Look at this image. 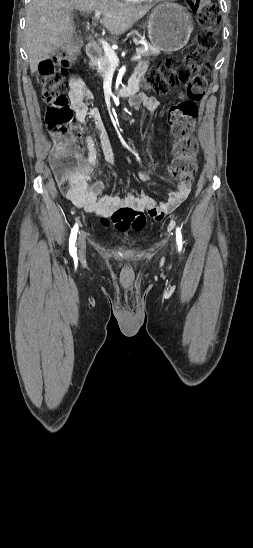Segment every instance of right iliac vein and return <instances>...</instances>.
Segmentation results:
<instances>
[{"instance_id": "63e3f726", "label": "right iliac vein", "mask_w": 253, "mask_h": 548, "mask_svg": "<svg viewBox=\"0 0 253 548\" xmlns=\"http://www.w3.org/2000/svg\"><path fill=\"white\" fill-rule=\"evenodd\" d=\"M78 252L80 256H84L86 252V241H85V235L84 233H81L79 235L78 239Z\"/></svg>"}]
</instances>
